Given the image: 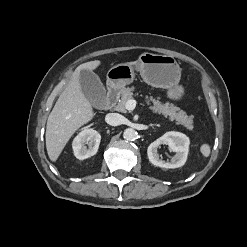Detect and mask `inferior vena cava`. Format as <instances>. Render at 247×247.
<instances>
[{
	"label": "inferior vena cava",
	"mask_w": 247,
	"mask_h": 247,
	"mask_svg": "<svg viewBox=\"0 0 247 247\" xmlns=\"http://www.w3.org/2000/svg\"><path fill=\"white\" fill-rule=\"evenodd\" d=\"M105 121L111 126H118L123 123V116L118 113H108L105 117Z\"/></svg>",
	"instance_id": "1"
}]
</instances>
